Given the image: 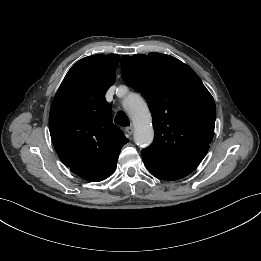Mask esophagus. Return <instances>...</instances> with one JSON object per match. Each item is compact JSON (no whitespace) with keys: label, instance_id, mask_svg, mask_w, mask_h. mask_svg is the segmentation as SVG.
<instances>
[{"label":"esophagus","instance_id":"34e87169","mask_svg":"<svg viewBox=\"0 0 261 261\" xmlns=\"http://www.w3.org/2000/svg\"><path fill=\"white\" fill-rule=\"evenodd\" d=\"M125 131H126V133H127L128 135H132L134 129H133L132 126H128V127L125 128Z\"/></svg>","mask_w":261,"mask_h":261}]
</instances>
